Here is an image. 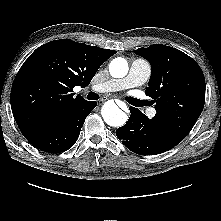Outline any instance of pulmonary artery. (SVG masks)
I'll return each instance as SVG.
<instances>
[{
    "mask_svg": "<svg viewBox=\"0 0 221 221\" xmlns=\"http://www.w3.org/2000/svg\"><path fill=\"white\" fill-rule=\"evenodd\" d=\"M151 75V67L143 59H135L130 66L128 74L120 79H111L97 87L94 90L103 91H119L133 88L144 84ZM156 111L151 109L148 113L149 117H153Z\"/></svg>",
    "mask_w": 221,
    "mask_h": 221,
    "instance_id": "1",
    "label": "pulmonary artery"
}]
</instances>
